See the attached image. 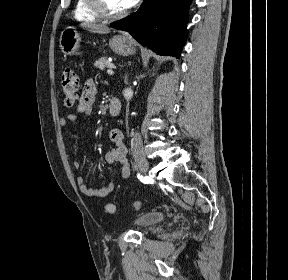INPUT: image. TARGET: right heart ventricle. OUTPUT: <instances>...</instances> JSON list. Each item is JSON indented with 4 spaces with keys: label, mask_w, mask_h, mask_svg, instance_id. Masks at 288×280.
Returning a JSON list of instances; mask_svg holds the SVG:
<instances>
[{
    "label": "right heart ventricle",
    "mask_w": 288,
    "mask_h": 280,
    "mask_svg": "<svg viewBox=\"0 0 288 280\" xmlns=\"http://www.w3.org/2000/svg\"><path fill=\"white\" fill-rule=\"evenodd\" d=\"M74 17L81 22L94 23L99 20L89 8L87 0H76L74 6Z\"/></svg>",
    "instance_id": "right-heart-ventricle-1"
}]
</instances>
